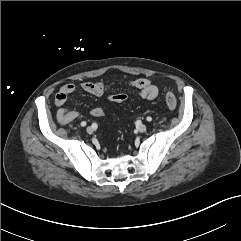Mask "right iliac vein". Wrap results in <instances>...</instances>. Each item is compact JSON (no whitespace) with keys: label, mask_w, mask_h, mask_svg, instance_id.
<instances>
[{"label":"right iliac vein","mask_w":241,"mask_h":241,"mask_svg":"<svg viewBox=\"0 0 241 241\" xmlns=\"http://www.w3.org/2000/svg\"><path fill=\"white\" fill-rule=\"evenodd\" d=\"M86 131H87V133L92 134V133H93V128L90 127V126H88V127L86 128Z\"/></svg>","instance_id":"1"}]
</instances>
